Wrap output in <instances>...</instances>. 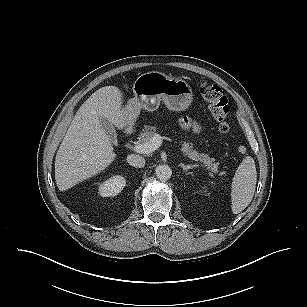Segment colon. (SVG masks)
Returning a JSON list of instances; mask_svg holds the SVG:
<instances>
[{
	"instance_id": "colon-1",
	"label": "colon",
	"mask_w": 307,
	"mask_h": 307,
	"mask_svg": "<svg viewBox=\"0 0 307 307\" xmlns=\"http://www.w3.org/2000/svg\"><path fill=\"white\" fill-rule=\"evenodd\" d=\"M199 92L208 103L213 117L218 122L219 131L223 134L229 133L231 129L229 121L231 108L222 89L216 84L202 81L199 83Z\"/></svg>"
}]
</instances>
